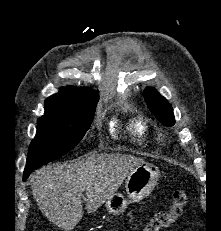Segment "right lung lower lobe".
Returning a JSON list of instances; mask_svg holds the SVG:
<instances>
[{"label": "right lung lower lobe", "instance_id": "right-lung-lower-lobe-1", "mask_svg": "<svg viewBox=\"0 0 221 231\" xmlns=\"http://www.w3.org/2000/svg\"><path fill=\"white\" fill-rule=\"evenodd\" d=\"M36 169H37V168L25 170V171H24V175H23V180L25 181V180L28 178V176H29L34 170H36Z\"/></svg>", "mask_w": 221, "mask_h": 231}]
</instances>
